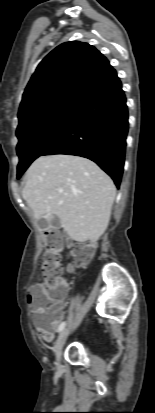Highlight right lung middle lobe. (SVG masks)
<instances>
[{
    "label": "right lung middle lobe",
    "mask_w": 155,
    "mask_h": 413,
    "mask_svg": "<svg viewBox=\"0 0 155 413\" xmlns=\"http://www.w3.org/2000/svg\"><path fill=\"white\" fill-rule=\"evenodd\" d=\"M78 104H64L45 112L17 128V177L54 143L66 128Z\"/></svg>",
    "instance_id": "right-lung-middle-lobe-1"
}]
</instances>
